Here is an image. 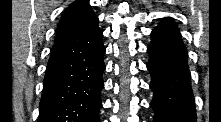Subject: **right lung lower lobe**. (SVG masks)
Segmentation results:
<instances>
[{
  "mask_svg": "<svg viewBox=\"0 0 221 122\" xmlns=\"http://www.w3.org/2000/svg\"><path fill=\"white\" fill-rule=\"evenodd\" d=\"M98 21L54 44L44 78L38 122H100L105 70Z\"/></svg>",
  "mask_w": 221,
  "mask_h": 122,
  "instance_id": "1",
  "label": "right lung lower lobe"
}]
</instances>
